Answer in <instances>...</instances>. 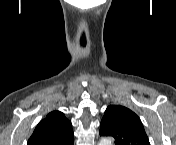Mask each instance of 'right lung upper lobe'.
Returning <instances> with one entry per match:
<instances>
[{
  "label": "right lung upper lobe",
  "mask_w": 176,
  "mask_h": 145,
  "mask_svg": "<svg viewBox=\"0 0 176 145\" xmlns=\"http://www.w3.org/2000/svg\"><path fill=\"white\" fill-rule=\"evenodd\" d=\"M72 124L60 111H53L39 122L28 145H73Z\"/></svg>",
  "instance_id": "obj_1"
}]
</instances>
